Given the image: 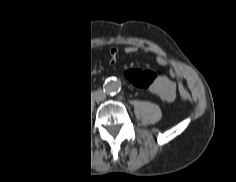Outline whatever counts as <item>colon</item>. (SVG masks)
Here are the masks:
<instances>
[{"mask_svg": "<svg viewBox=\"0 0 236 182\" xmlns=\"http://www.w3.org/2000/svg\"><path fill=\"white\" fill-rule=\"evenodd\" d=\"M124 76L132 86L139 89L149 88L154 79V73L152 71L138 68H131L125 71ZM55 86L57 92L65 96L69 95L73 89L70 79L64 74L56 76ZM179 90L181 93H184V95L187 94V90L182 82H179Z\"/></svg>", "mask_w": 236, "mask_h": 182, "instance_id": "5ec220e1", "label": "colon"}]
</instances>
